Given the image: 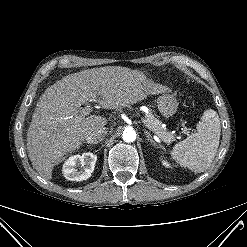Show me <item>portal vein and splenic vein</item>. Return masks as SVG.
<instances>
[{"mask_svg": "<svg viewBox=\"0 0 247 247\" xmlns=\"http://www.w3.org/2000/svg\"><path fill=\"white\" fill-rule=\"evenodd\" d=\"M90 113V107L87 106L85 108L82 109V113L80 115L77 116V120L81 121L82 119L85 118V116L89 115ZM142 122L145 124V126L151 130V127L148 125L147 121L145 119H142ZM152 131V130H151ZM153 132V131H152ZM157 135V133H155ZM158 139V138H157Z\"/></svg>", "mask_w": 247, "mask_h": 247, "instance_id": "1", "label": "portal vein and splenic vein"}]
</instances>
